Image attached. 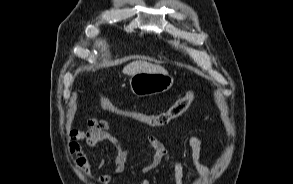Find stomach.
<instances>
[{"label":"stomach","mask_w":293,"mask_h":184,"mask_svg":"<svg viewBox=\"0 0 293 184\" xmlns=\"http://www.w3.org/2000/svg\"><path fill=\"white\" fill-rule=\"evenodd\" d=\"M174 79L168 73L140 72L131 76L129 86L137 97L151 96L168 91Z\"/></svg>","instance_id":"0dacf381"}]
</instances>
